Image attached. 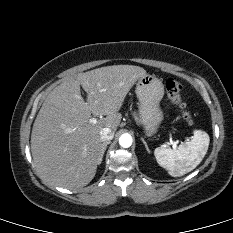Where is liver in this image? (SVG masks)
Listing matches in <instances>:
<instances>
[{
  "instance_id": "6515ba94",
  "label": "liver",
  "mask_w": 233,
  "mask_h": 233,
  "mask_svg": "<svg viewBox=\"0 0 233 233\" xmlns=\"http://www.w3.org/2000/svg\"><path fill=\"white\" fill-rule=\"evenodd\" d=\"M146 74L139 66L113 65L66 77L54 88L31 134V153L40 177L69 190L89 184L99 164L101 130H117L127 93ZM80 86L88 95L86 102ZM91 114L106 117L90 123Z\"/></svg>"
}]
</instances>
